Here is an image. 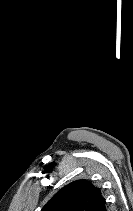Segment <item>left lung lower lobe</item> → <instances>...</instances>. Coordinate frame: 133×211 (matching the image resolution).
<instances>
[{
  "instance_id": "0a47b994",
  "label": "left lung lower lobe",
  "mask_w": 133,
  "mask_h": 211,
  "mask_svg": "<svg viewBox=\"0 0 133 211\" xmlns=\"http://www.w3.org/2000/svg\"><path fill=\"white\" fill-rule=\"evenodd\" d=\"M97 211H106L105 203Z\"/></svg>"
}]
</instances>
